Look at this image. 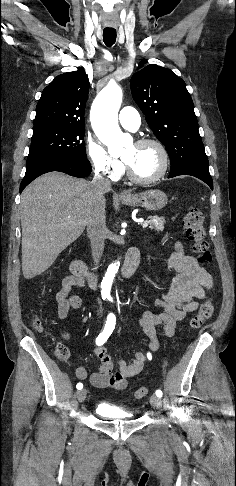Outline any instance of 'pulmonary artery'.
<instances>
[{
    "mask_svg": "<svg viewBox=\"0 0 236 486\" xmlns=\"http://www.w3.org/2000/svg\"><path fill=\"white\" fill-rule=\"evenodd\" d=\"M119 122L123 128L130 131H136L140 126V115L136 109L127 106L121 109L119 113Z\"/></svg>",
    "mask_w": 236,
    "mask_h": 486,
    "instance_id": "1",
    "label": "pulmonary artery"
}]
</instances>
